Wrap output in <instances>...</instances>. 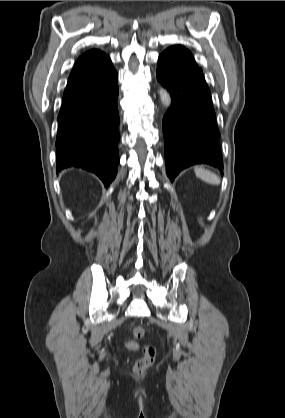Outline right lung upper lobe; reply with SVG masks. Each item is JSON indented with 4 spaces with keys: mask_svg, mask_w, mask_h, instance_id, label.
Wrapping results in <instances>:
<instances>
[{
    "mask_svg": "<svg viewBox=\"0 0 285 418\" xmlns=\"http://www.w3.org/2000/svg\"><path fill=\"white\" fill-rule=\"evenodd\" d=\"M113 69L111 59L104 52L92 49L83 53L70 73L63 97L95 83Z\"/></svg>",
    "mask_w": 285,
    "mask_h": 418,
    "instance_id": "obj_1",
    "label": "right lung upper lobe"
}]
</instances>
